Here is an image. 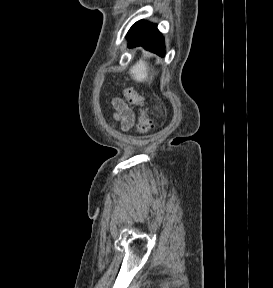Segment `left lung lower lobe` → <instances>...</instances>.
Segmentation results:
<instances>
[{"instance_id":"obj_1","label":"left lung lower lobe","mask_w":273,"mask_h":288,"mask_svg":"<svg viewBox=\"0 0 273 288\" xmlns=\"http://www.w3.org/2000/svg\"><path fill=\"white\" fill-rule=\"evenodd\" d=\"M129 47L143 46L146 50L164 55V40L157 26L146 21L136 22L127 34Z\"/></svg>"}]
</instances>
